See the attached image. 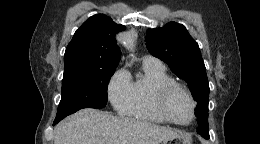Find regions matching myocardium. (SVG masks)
<instances>
[{
    "instance_id": "1",
    "label": "myocardium",
    "mask_w": 260,
    "mask_h": 144,
    "mask_svg": "<svg viewBox=\"0 0 260 144\" xmlns=\"http://www.w3.org/2000/svg\"><path fill=\"white\" fill-rule=\"evenodd\" d=\"M177 90L183 92L188 97V99L190 100L191 105H192L191 118L187 122H179V121L173 119L167 111V107H166L167 99L174 91H177ZM152 104H153L155 111L158 113V115L169 123H172V124H175L178 126H187V125L191 124L193 122V120L195 119L197 103H196L193 95L191 94V92L188 90V88L180 83L170 82V83H165V84L158 86L154 92Z\"/></svg>"
}]
</instances>
